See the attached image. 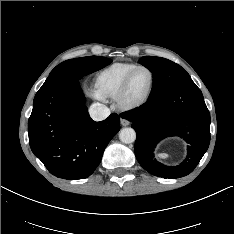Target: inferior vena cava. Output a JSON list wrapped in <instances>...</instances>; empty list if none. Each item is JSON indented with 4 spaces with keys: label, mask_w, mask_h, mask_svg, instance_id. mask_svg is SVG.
Wrapping results in <instances>:
<instances>
[{
    "label": "inferior vena cava",
    "mask_w": 234,
    "mask_h": 234,
    "mask_svg": "<svg viewBox=\"0 0 234 234\" xmlns=\"http://www.w3.org/2000/svg\"><path fill=\"white\" fill-rule=\"evenodd\" d=\"M89 114L94 121H102L110 115V110L101 103H93L90 106Z\"/></svg>",
    "instance_id": "1"
}]
</instances>
